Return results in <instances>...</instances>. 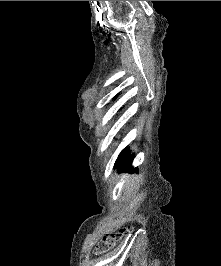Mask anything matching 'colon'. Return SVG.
<instances>
[{"instance_id":"obj_1","label":"colon","mask_w":221,"mask_h":266,"mask_svg":"<svg viewBox=\"0 0 221 266\" xmlns=\"http://www.w3.org/2000/svg\"><path fill=\"white\" fill-rule=\"evenodd\" d=\"M129 231H131V228H123L118 232H112L104 235L99 244L98 250L100 252L109 250L116 244L119 239H121Z\"/></svg>"}]
</instances>
